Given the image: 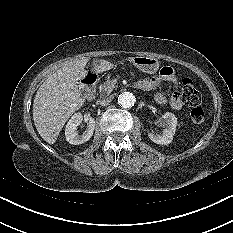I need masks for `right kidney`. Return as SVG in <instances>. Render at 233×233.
<instances>
[{"mask_svg":"<svg viewBox=\"0 0 233 233\" xmlns=\"http://www.w3.org/2000/svg\"><path fill=\"white\" fill-rule=\"evenodd\" d=\"M82 121L83 116L81 113H75L68 121L65 128V137L70 144L79 145L87 142L92 137L95 128L94 118L88 117L86 119L87 129L83 134H79L77 127L82 123Z\"/></svg>","mask_w":233,"mask_h":233,"instance_id":"1","label":"right kidney"}]
</instances>
